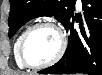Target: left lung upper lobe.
<instances>
[{"label":"left lung upper lobe","instance_id":"5c2ea615","mask_svg":"<svg viewBox=\"0 0 102 75\" xmlns=\"http://www.w3.org/2000/svg\"><path fill=\"white\" fill-rule=\"evenodd\" d=\"M76 0H10L9 38L29 20L54 16L63 25L72 16Z\"/></svg>","mask_w":102,"mask_h":75}]
</instances>
